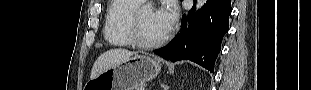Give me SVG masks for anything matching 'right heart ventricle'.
<instances>
[{"label": "right heart ventricle", "instance_id": "obj_1", "mask_svg": "<svg viewBox=\"0 0 311 90\" xmlns=\"http://www.w3.org/2000/svg\"><path fill=\"white\" fill-rule=\"evenodd\" d=\"M142 3L140 0L111 1L104 24V37L109 44L120 47L134 45L130 33V19Z\"/></svg>", "mask_w": 311, "mask_h": 90}]
</instances>
